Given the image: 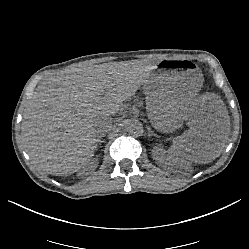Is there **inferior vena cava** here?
<instances>
[{"label":"inferior vena cava","instance_id":"602c4592","mask_svg":"<svg viewBox=\"0 0 249 249\" xmlns=\"http://www.w3.org/2000/svg\"><path fill=\"white\" fill-rule=\"evenodd\" d=\"M94 124H95V128H97V132H100V133H103V132L106 133L113 127V122L111 120L110 115L102 116L101 118L96 119L94 121Z\"/></svg>","mask_w":249,"mask_h":249}]
</instances>
